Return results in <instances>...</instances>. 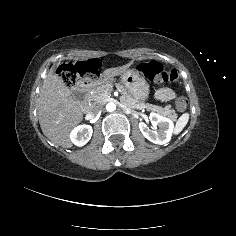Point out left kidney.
<instances>
[{"mask_svg":"<svg viewBox=\"0 0 236 236\" xmlns=\"http://www.w3.org/2000/svg\"><path fill=\"white\" fill-rule=\"evenodd\" d=\"M149 119L153 127L159 126V130H151L144 122L139 123V129L143 136L154 144L163 145L171 140L174 124L169 118L151 112Z\"/></svg>","mask_w":236,"mask_h":236,"instance_id":"5707ae66","label":"left kidney"}]
</instances>
